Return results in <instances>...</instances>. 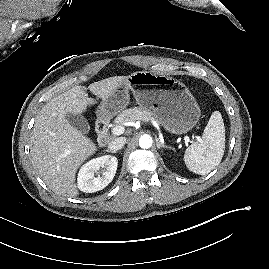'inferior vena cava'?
I'll return each mask as SVG.
<instances>
[{
    "label": "inferior vena cava",
    "mask_w": 269,
    "mask_h": 269,
    "mask_svg": "<svg viewBox=\"0 0 269 269\" xmlns=\"http://www.w3.org/2000/svg\"><path fill=\"white\" fill-rule=\"evenodd\" d=\"M126 143V138L125 137H119L114 140H112L109 144L108 147L110 150L117 151L119 149H122Z\"/></svg>",
    "instance_id": "1"
}]
</instances>
